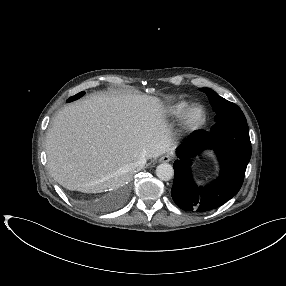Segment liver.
Segmentation results:
<instances>
[{"instance_id": "obj_1", "label": "liver", "mask_w": 286, "mask_h": 286, "mask_svg": "<svg viewBox=\"0 0 286 286\" xmlns=\"http://www.w3.org/2000/svg\"><path fill=\"white\" fill-rule=\"evenodd\" d=\"M163 114L158 98L132 92L95 94L64 107L46 139L52 177L84 193L123 186L141 159L174 146Z\"/></svg>"}]
</instances>
